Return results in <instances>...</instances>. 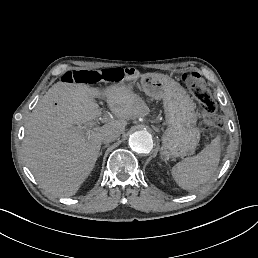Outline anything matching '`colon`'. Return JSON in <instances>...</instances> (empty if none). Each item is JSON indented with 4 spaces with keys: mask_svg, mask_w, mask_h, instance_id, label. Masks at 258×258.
<instances>
[{
    "mask_svg": "<svg viewBox=\"0 0 258 258\" xmlns=\"http://www.w3.org/2000/svg\"><path fill=\"white\" fill-rule=\"evenodd\" d=\"M121 78L120 68H105L100 70H72L66 72L62 80L69 84H84L95 86L100 83L111 84ZM183 83L188 86L199 102V104L209 113L216 111V104L211 91L205 85L199 73L187 71L182 75Z\"/></svg>",
    "mask_w": 258,
    "mask_h": 258,
    "instance_id": "obj_1",
    "label": "colon"
}]
</instances>
